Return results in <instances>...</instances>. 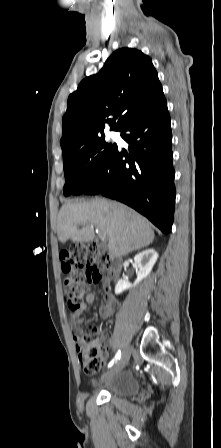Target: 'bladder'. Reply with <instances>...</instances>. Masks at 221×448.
Masks as SVG:
<instances>
[{"mask_svg": "<svg viewBox=\"0 0 221 448\" xmlns=\"http://www.w3.org/2000/svg\"><path fill=\"white\" fill-rule=\"evenodd\" d=\"M95 389L104 391L113 397L133 398L141 391V384L137 376L130 372L109 374L106 372L92 381Z\"/></svg>", "mask_w": 221, "mask_h": 448, "instance_id": "31cf9c89", "label": "bladder"}]
</instances>
